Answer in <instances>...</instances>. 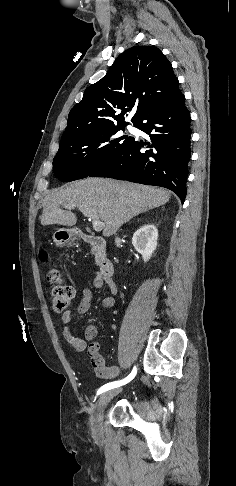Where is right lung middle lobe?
<instances>
[{"label":"right lung middle lobe","instance_id":"right-lung-middle-lobe-1","mask_svg":"<svg viewBox=\"0 0 236 486\" xmlns=\"http://www.w3.org/2000/svg\"><path fill=\"white\" fill-rule=\"evenodd\" d=\"M127 124L85 134L59 145L53 160L55 176L69 182L88 177L93 171L133 141V137L114 139Z\"/></svg>","mask_w":236,"mask_h":486}]
</instances>
